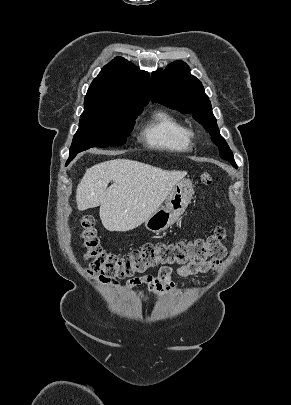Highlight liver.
<instances>
[{
  "instance_id": "liver-1",
  "label": "liver",
  "mask_w": 291,
  "mask_h": 405,
  "mask_svg": "<svg viewBox=\"0 0 291 405\" xmlns=\"http://www.w3.org/2000/svg\"><path fill=\"white\" fill-rule=\"evenodd\" d=\"M186 174L128 159L102 162L87 169L78 184L77 207L83 211L100 205V218L106 229L133 230L162 205ZM110 181L113 184L107 188Z\"/></svg>"
}]
</instances>
